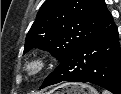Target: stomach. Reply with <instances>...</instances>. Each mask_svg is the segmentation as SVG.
<instances>
[{
    "instance_id": "1",
    "label": "stomach",
    "mask_w": 121,
    "mask_h": 94,
    "mask_svg": "<svg viewBox=\"0 0 121 94\" xmlns=\"http://www.w3.org/2000/svg\"><path fill=\"white\" fill-rule=\"evenodd\" d=\"M46 94H98L97 91L87 84L64 83Z\"/></svg>"
}]
</instances>
